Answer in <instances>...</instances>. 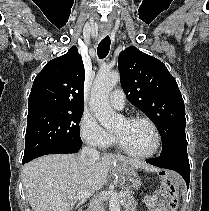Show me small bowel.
<instances>
[{
    "label": "small bowel",
    "mask_w": 209,
    "mask_h": 211,
    "mask_svg": "<svg viewBox=\"0 0 209 211\" xmlns=\"http://www.w3.org/2000/svg\"><path fill=\"white\" fill-rule=\"evenodd\" d=\"M166 193L162 190L156 191L145 199V204L148 211H169L166 207Z\"/></svg>",
    "instance_id": "small-bowel-1"
}]
</instances>
